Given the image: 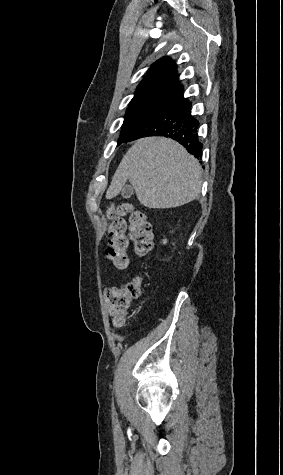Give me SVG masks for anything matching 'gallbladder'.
<instances>
[{
    "label": "gallbladder",
    "instance_id": "1",
    "mask_svg": "<svg viewBox=\"0 0 283 475\" xmlns=\"http://www.w3.org/2000/svg\"><path fill=\"white\" fill-rule=\"evenodd\" d=\"M132 194H133L132 186H124L121 192L122 198H131Z\"/></svg>",
    "mask_w": 283,
    "mask_h": 475
}]
</instances>
